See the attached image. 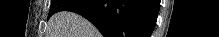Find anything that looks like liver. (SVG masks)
I'll return each mask as SVG.
<instances>
[{
    "label": "liver",
    "instance_id": "obj_1",
    "mask_svg": "<svg viewBox=\"0 0 219 37\" xmlns=\"http://www.w3.org/2000/svg\"><path fill=\"white\" fill-rule=\"evenodd\" d=\"M51 37H97L96 28L82 16L62 11L53 15L48 22Z\"/></svg>",
    "mask_w": 219,
    "mask_h": 37
}]
</instances>
